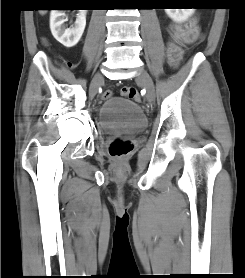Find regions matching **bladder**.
<instances>
[{
	"instance_id": "1",
	"label": "bladder",
	"mask_w": 245,
	"mask_h": 278,
	"mask_svg": "<svg viewBox=\"0 0 245 278\" xmlns=\"http://www.w3.org/2000/svg\"><path fill=\"white\" fill-rule=\"evenodd\" d=\"M98 123L105 132L137 133L147 123L142 109L127 98L110 97L103 101Z\"/></svg>"
}]
</instances>
